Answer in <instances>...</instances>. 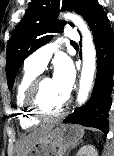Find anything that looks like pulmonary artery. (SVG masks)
<instances>
[{"label": "pulmonary artery", "mask_w": 114, "mask_h": 156, "mask_svg": "<svg viewBox=\"0 0 114 156\" xmlns=\"http://www.w3.org/2000/svg\"><path fill=\"white\" fill-rule=\"evenodd\" d=\"M64 38L76 42L79 40V35L76 30L68 29L64 34ZM61 40L58 39L36 50L26 59L25 65L43 71Z\"/></svg>", "instance_id": "pulmonary-artery-1"}]
</instances>
